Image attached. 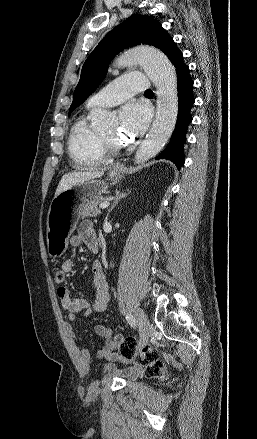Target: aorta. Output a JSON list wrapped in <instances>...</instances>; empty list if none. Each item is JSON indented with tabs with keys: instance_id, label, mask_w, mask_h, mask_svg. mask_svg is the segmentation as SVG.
<instances>
[{
	"instance_id": "obj_1",
	"label": "aorta",
	"mask_w": 257,
	"mask_h": 439,
	"mask_svg": "<svg viewBox=\"0 0 257 439\" xmlns=\"http://www.w3.org/2000/svg\"><path fill=\"white\" fill-rule=\"evenodd\" d=\"M141 64L157 89L155 120L147 138L138 148L135 160L145 162L156 156L171 137L178 114V92L176 71L167 56L152 47L135 48L125 52L117 61V67ZM91 126L96 132H105L114 123L115 117L104 110H93Z\"/></svg>"
}]
</instances>
